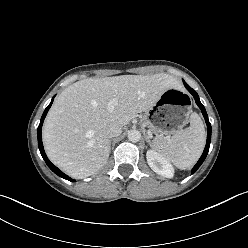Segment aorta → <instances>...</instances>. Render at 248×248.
I'll use <instances>...</instances> for the list:
<instances>
[{"label":"aorta","instance_id":"1","mask_svg":"<svg viewBox=\"0 0 248 248\" xmlns=\"http://www.w3.org/2000/svg\"><path fill=\"white\" fill-rule=\"evenodd\" d=\"M128 139L131 142H138L141 139V133L138 130H131L128 132Z\"/></svg>","mask_w":248,"mask_h":248}]
</instances>
